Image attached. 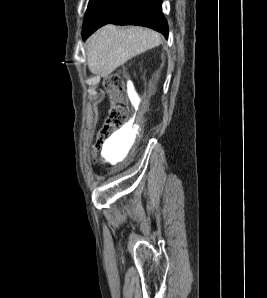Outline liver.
I'll return each instance as SVG.
<instances>
[{
  "label": "liver",
  "mask_w": 267,
  "mask_h": 298,
  "mask_svg": "<svg viewBox=\"0 0 267 298\" xmlns=\"http://www.w3.org/2000/svg\"><path fill=\"white\" fill-rule=\"evenodd\" d=\"M160 43L159 33L151 29L105 25L88 40L86 46L88 68L95 75L107 77L129 59Z\"/></svg>",
  "instance_id": "6515ba94"
}]
</instances>
